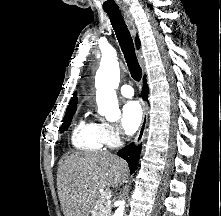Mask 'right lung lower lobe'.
I'll return each instance as SVG.
<instances>
[{
    "instance_id": "1",
    "label": "right lung lower lobe",
    "mask_w": 221,
    "mask_h": 216,
    "mask_svg": "<svg viewBox=\"0 0 221 216\" xmlns=\"http://www.w3.org/2000/svg\"><path fill=\"white\" fill-rule=\"evenodd\" d=\"M147 94H148V87L146 85V82H144V87L142 91L143 99H146ZM140 153H141V145L135 146L134 143H131L130 145L121 149L117 154L118 156L122 157L127 161L130 168V172L132 174L136 170Z\"/></svg>"
}]
</instances>
